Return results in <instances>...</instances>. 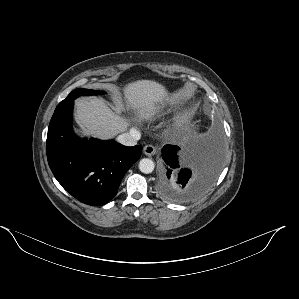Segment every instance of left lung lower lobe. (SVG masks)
I'll list each match as a JSON object with an SVG mask.
<instances>
[{"instance_id":"1","label":"left lung lower lobe","mask_w":299,"mask_h":299,"mask_svg":"<svg viewBox=\"0 0 299 299\" xmlns=\"http://www.w3.org/2000/svg\"><path fill=\"white\" fill-rule=\"evenodd\" d=\"M222 143L217 137L195 141L183 151L175 145L162 149L163 165L158 192L171 202L198 197L213 184L222 164Z\"/></svg>"}]
</instances>
